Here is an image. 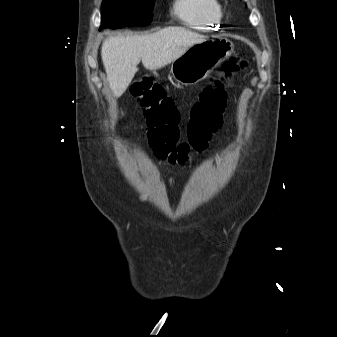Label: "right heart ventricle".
<instances>
[{"label": "right heart ventricle", "mask_w": 337, "mask_h": 337, "mask_svg": "<svg viewBox=\"0 0 337 337\" xmlns=\"http://www.w3.org/2000/svg\"><path fill=\"white\" fill-rule=\"evenodd\" d=\"M172 10L185 25L202 31L220 28L225 16L220 0H175Z\"/></svg>", "instance_id": "right-heart-ventricle-1"}]
</instances>
